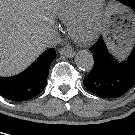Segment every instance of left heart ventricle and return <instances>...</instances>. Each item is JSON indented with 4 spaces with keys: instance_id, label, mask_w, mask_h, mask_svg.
Listing matches in <instances>:
<instances>
[{
    "instance_id": "1",
    "label": "left heart ventricle",
    "mask_w": 135,
    "mask_h": 135,
    "mask_svg": "<svg viewBox=\"0 0 135 135\" xmlns=\"http://www.w3.org/2000/svg\"><path fill=\"white\" fill-rule=\"evenodd\" d=\"M85 29H82L81 32H84Z\"/></svg>"
}]
</instances>
